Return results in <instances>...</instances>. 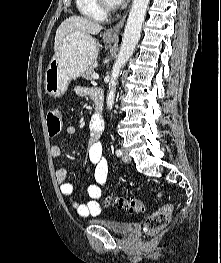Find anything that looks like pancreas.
<instances>
[{"instance_id":"cf45deb5","label":"pancreas","mask_w":221,"mask_h":263,"mask_svg":"<svg viewBox=\"0 0 221 263\" xmlns=\"http://www.w3.org/2000/svg\"><path fill=\"white\" fill-rule=\"evenodd\" d=\"M97 67V62H94L82 75L83 78H85L86 80H92L93 79V74L94 69Z\"/></svg>"}]
</instances>
